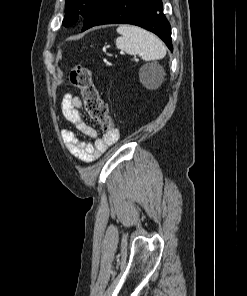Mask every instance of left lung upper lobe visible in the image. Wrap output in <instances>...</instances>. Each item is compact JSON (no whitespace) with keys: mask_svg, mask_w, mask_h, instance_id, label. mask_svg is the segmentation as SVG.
Returning a JSON list of instances; mask_svg holds the SVG:
<instances>
[{"mask_svg":"<svg viewBox=\"0 0 247 296\" xmlns=\"http://www.w3.org/2000/svg\"><path fill=\"white\" fill-rule=\"evenodd\" d=\"M101 0H66L64 26L73 25L79 16L88 15Z\"/></svg>","mask_w":247,"mask_h":296,"instance_id":"1","label":"left lung upper lobe"}]
</instances>
